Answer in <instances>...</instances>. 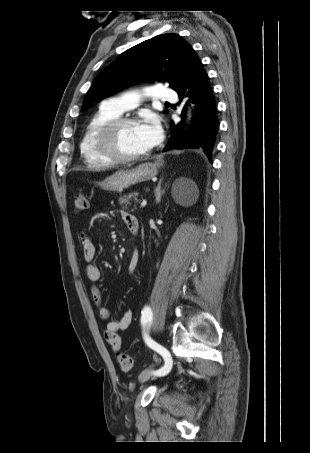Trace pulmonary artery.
I'll return each instance as SVG.
<instances>
[{
    "instance_id": "pulmonary-artery-1",
    "label": "pulmonary artery",
    "mask_w": 310,
    "mask_h": 453,
    "mask_svg": "<svg viewBox=\"0 0 310 453\" xmlns=\"http://www.w3.org/2000/svg\"><path fill=\"white\" fill-rule=\"evenodd\" d=\"M147 95L153 96L161 101H173L176 99V92L168 89L164 85H156L151 87L146 92ZM140 100V94L137 92H129L113 97L103 103L104 107L117 113L123 112L134 108Z\"/></svg>"
}]
</instances>
